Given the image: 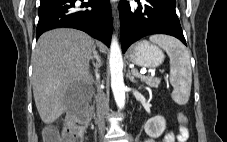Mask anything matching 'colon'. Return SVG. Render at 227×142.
Listing matches in <instances>:
<instances>
[{
	"instance_id": "5ec220e1",
	"label": "colon",
	"mask_w": 227,
	"mask_h": 142,
	"mask_svg": "<svg viewBox=\"0 0 227 142\" xmlns=\"http://www.w3.org/2000/svg\"><path fill=\"white\" fill-rule=\"evenodd\" d=\"M88 121L86 113L74 114L68 125L62 130L56 125H50L43 130V142H81L82 132ZM180 130L185 140L189 138L188 123L185 115L179 113Z\"/></svg>"
}]
</instances>
